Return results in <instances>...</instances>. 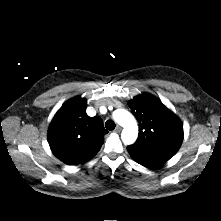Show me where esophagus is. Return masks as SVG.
Here are the masks:
<instances>
[{
  "instance_id": "obj_1",
  "label": "esophagus",
  "mask_w": 221,
  "mask_h": 221,
  "mask_svg": "<svg viewBox=\"0 0 221 221\" xmlns=\"http://www.w3.org/2000/svg\"><path fill=\"white\" fill-rule=\"evenodd\" d=\"M121 130H122V128H121L120 126H116L114 132H115V133H120Z\"/></svg>"
}]
</instances>
